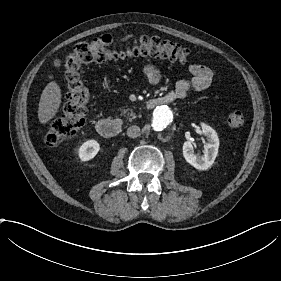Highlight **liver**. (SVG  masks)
<instances>
[{"label":"liver","instance_id":"liver-1","mask_svg":"<svg viewBox=\"0 0 281 281\" xmlns=\"http://www.w3.org/2000/svg\"><path fill=\"white\" fill-rule=\"evenodd\" d=\"M61 103V89L55 81L48 83L44 88L39 102L38 118L40 123L45 124L51 120Z\"/></svg>","mask_w":281,"mask_h":281}]
</instances>
